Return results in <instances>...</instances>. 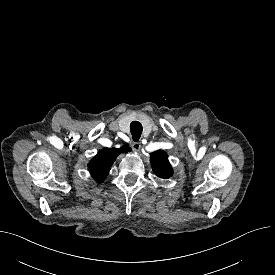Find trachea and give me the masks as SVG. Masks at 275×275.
<instances>
[{
  "label": "trachea",
  "mask_w": 275,
  "mask_h": 275,
  "mask_svg": "<svg viewBox=\"0 0 275 275\" xmlns=\"http://www.w3.org/2000/svg\"><path fill=\"white\" fill-rule=\"evenodd\" d=\"M142 125L140 122L138 121H133L130 124V131L132 134V139L136 142L140 139L141 134H142Z\"/></svg>",
  "instance_id": "3493384b"
}]
</instances>
